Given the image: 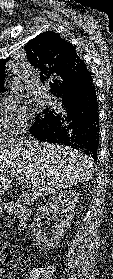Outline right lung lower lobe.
<instances>
[{"label": "right lung lower lobe", "mask_w": 113, "mask_h": 279, "mask_svg": "<svg viewBox=\"0 0 113 279\" xmlns=\"http://www.w3.org/2000/svg\"><path fill=\"white\" fill-rule=\"evenodd\" d=\"M61 98L63 110L53 112L47 121L30 128L29 132L43 142L81 149L96 160L99 110L91 73L77 89L67 92Z\"/></svg>", "instance_id": "right-lung-lower-lobe-1"}]
</instances>
